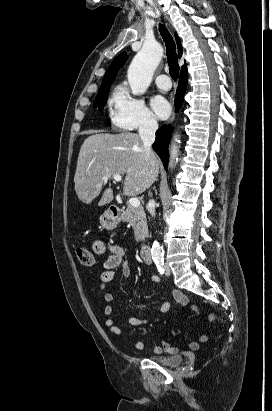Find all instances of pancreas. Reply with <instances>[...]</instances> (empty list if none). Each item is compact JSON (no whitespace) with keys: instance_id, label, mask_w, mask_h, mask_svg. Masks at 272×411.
Wrapping results in <instances>:
<instances>
[{"instance_id":"obj_1","label":"pancreas","mask_w":272,"mask_h":411,"mask_svg":"<svg viewBox=\"0 0 272 411\" xmlns=\"http://www.w3.org/2000/svg\"><path fill=\"white\" fill-rule=\"evenodd\" d=\"M122 221L131 225L134 230L136 241L145 239V236L148 233V227L146 214L142 206L135 208L129 204L122 216Z\"/></svg>"}]
</instances>
